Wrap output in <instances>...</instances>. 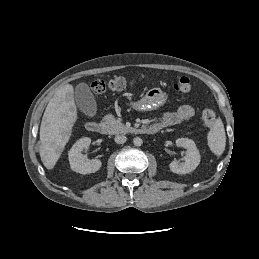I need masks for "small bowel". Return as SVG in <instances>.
<instances>
[{
	"mask_svg": "<svg viewBox=\"0 0 259 259\" xmlns=\"http://www.w3.org/2000/svg\"><path fill=\"white\" fill-rule=\"evenodd\" d=\"M194 115V108L189 104H184L177 111L165 114L159 121L155 122L160 129L163 127L174 126L183 121H188Z\"/></svg>",
	"mask_w": 259,
	"mask_h": 259,
	"instance_id": "1",
	"label": "small bowel"
}]
</instances>
